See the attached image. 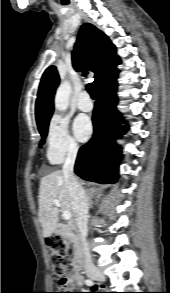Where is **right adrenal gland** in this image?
Listing matches in <instances>:
<instances>
[{"mask_svg":"<svg viewBox=\"0 0 170 293\" xmlns=\"http://www.w3.org/2000/svg\"><path fill=\"white\" fill-rule=\"evenodd\" d=\"M86 194H87L89 208H91L92 207V204H93L92 198L94 196L98 195V192L95 189H91V190H88Z\"/></svg>","mask_w":170,"mask_h":293,"instance_id":"obj_1","label":"right adrenal gland"}]
</instances>
